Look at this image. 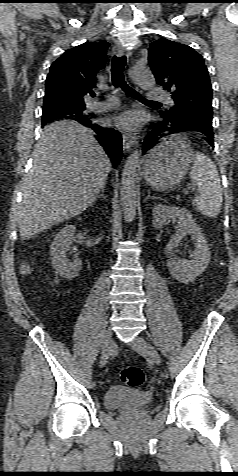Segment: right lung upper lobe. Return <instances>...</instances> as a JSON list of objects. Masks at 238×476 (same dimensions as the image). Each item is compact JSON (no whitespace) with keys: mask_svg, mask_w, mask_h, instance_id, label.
<instances>
[{"mask_svg":"<svg viewBox=\"0 0 238 476\" xmlns=\"http://www.w3.org/2000/svg\"><path fill=\"white\" fill-rule=\"evenodd\" d=\"M109 45L106 41L85 42L67 50L50 67L44 102L85 105L83 97L95 87Z\"/></svg>","mask_w":238,"mask_h":476,"instance_id":"obj_1","label":"right lung upper lobe"}]
</instances>
